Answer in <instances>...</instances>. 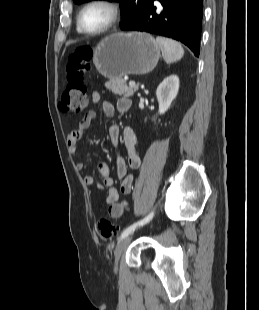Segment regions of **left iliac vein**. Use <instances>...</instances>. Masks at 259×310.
Masks as SVG:
<instances>
[{"instance_id": "1", "label": "left iliac vein", "mask_w": 259, "mask_h": 310, "mask_svg": "<svg viewBox=\"0 0 259 310\" xmlns=\"http://www.w3.org/2000/svg\"><path fill=\"white\" fill-rule=\"evenodd\" d=\"M131 239H132V235H128L118 242V244L115 248V251H114V255H115L114 270L115 271L118 269V263H119L120 257L123 254V252L125 251V249L127 248V246L129 245Z\"/></svg>"}]
</instances>
